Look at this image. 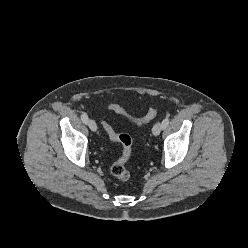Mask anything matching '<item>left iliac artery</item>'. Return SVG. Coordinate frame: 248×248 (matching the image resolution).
<instances>
[{
	"mask_svg": "<svg viewBox=\"0 0 248 248\" xmlns=\"http://www.w3.org/2000/svg\"><path fill=\"white\" fill-rule=\"evenodd\" d=\"M168 125H169V118L166 117V118L162 121V129H165Z\"/></svg>",
	"mask_w": 248,
	"mask_h": 248,
	"instance_id": "44dca946",
	"label": "left iliac artery"
}]
</instances>
